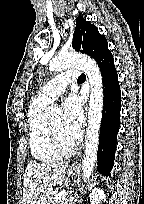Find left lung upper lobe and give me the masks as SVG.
Returning a JSON list of instances; mask_svg holds the SVG:
<instances>
[{
	"label": "left lung upper lobe",
	"instance_id": "left-lung-upper-lobe-1",
	"mask_svg": "<svg viewBox=\"0 0 144 204\" xmlns=\"http://www.w3.org/2000/svg\"><path fill=\"white\" fill-rule=\"evenodd\" d=\"M72 49L85 53L98 64L108 57H113L108 49L106 38L98 32V28L86 21L81 15L76 19Z\"/></svg>",
	"mask_w": 144,
	"mask_h": 204
}]
</instances>
